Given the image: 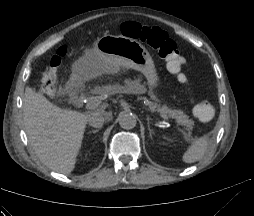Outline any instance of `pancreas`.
<instances>
[{"instance_id": "1", "label": "pancreas", "mask_w": 254, "mask_h": 216, "mask_svg": "<svg viewBox=\"0 0 254 216\" xmlns=\"http://www.w3.org/2000/svg\"><path fill=\"white\" fill-rule=\"evenodd\" d=\"M128 87L131 91L134 92H140L142 90V86L139 83H134V82H129ZM114 88L111 87H106L105 90H113ZM153 109H156L158 112H163L170 118L175 119V121L181 125L187 132H184V137L185 139L191 138V130L193 129L194 126V121L192 119H189V116L186 115L183 111L181 110H172L169 109L166 106H159L156 104L151 105Z\"/></svg>"}]
</instances>
